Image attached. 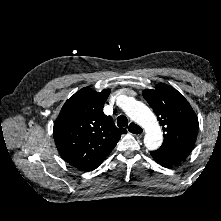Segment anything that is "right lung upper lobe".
<instances>
[{
    "mask_svg": "<svg viewBox=\"0 0 221 221\" xmlns=\"http://www.w3.org/2000/svg\"><path fill=\"white\" fill-rule=\"evenodd\" d=\"M110 93L82 88L63 105L53 128L60 155L72 166L87 169L99 165L112 151L126 129H118L103 113Z\"/></svg>",
    "mask_w": 221,
    "mask_h": 221,
    "instance_id": "cb5924a9",
    "label": "right lung upper lobe"
}]
</instances>
